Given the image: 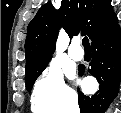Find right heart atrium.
I'll use <instances>...</instances> for the list:
<instances>
[{"label":"right heart atrium","mask_w":121,"mask_h":113,"mask_svg":"<svg viewBox=\"0 0 121 113\" xmlns=\"http://www.w3.org/2000/svg\"><path fill=\"white\" fill-rule=\"evenodd\" d=\"M33 101L46 113H64L75 109L76 96L65 83L62 72L50 66L35 83Z\"/></svg>","instance_id":"obj_1"}]
</instances>
